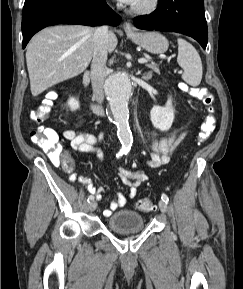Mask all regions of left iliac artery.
Listing matches in <instances>:
<instances>
[{"instance_id": "1", "label": "left iliac artery", "mask_w": 243, "mask_h": 289, "mask_svg": "<svg viewBox=\"0 0 243 289\" xmlns=\"http://www.w3.org/2000/svg\"><path fill=\"white\" fill-rule=\"evenodd\" d=\"M161 199H162L166 204H167L168 201H169V198H168V196H167L165 193H162Z\"/></svg>"}]
</instances>
